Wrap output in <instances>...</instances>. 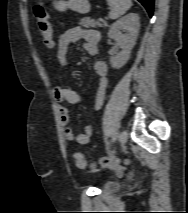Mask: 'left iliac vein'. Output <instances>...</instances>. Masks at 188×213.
Listing matches in <instances>:
<instances>
[{
  "instance_id": "obj_1",
  "label": "left iliac vein",
  "mask_w": 188,
  "mask_h": 213,
  "mask_svg": "<svg viewBox=\"0 0 188 213\" xmlns=\"http://www.w3.org/2000/svg\"><path fill=\"white\" fill-rule=\"evenodd\" d=\"M128 134L126 131H121L119 134V142L121 146H124L127 142Z\"/></svg>"
}]
</instances>
